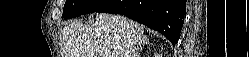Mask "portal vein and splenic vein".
I'll use <instances>...</instances> for the list:
<instances>
[{"label": "portal vein and splenic vein", "mask_w": 249, "mask_h": 57, "mask_svg": "<svg viewBox=\"0 0 249 57\" xmlns=\"http://www.w3.org/2000/svg\"><path fill=\"white\" fill-rule=\"evenodd\" d=\"M105 57H109V55H105Z\"/></svg>", "instance_id": "obj_1"}]
</instances>
